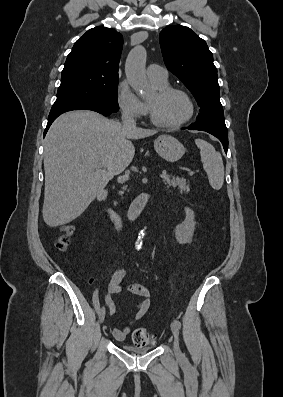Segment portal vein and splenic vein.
Masks as SVG:
<instances>
[{
    "label": "portal vein and splenic vein",
    "mask_w": 283,
    "mask_h": 397,
    "mask_svg": "<svg viewBox=\"0 0 283 397\" xmlns=\"http://www.w3.org/2000/svg\"><path fill=\"white\" fill-rule=\"evenodd\" d=\"M160 177L163 178V179H167V178L170 177V175L167 174L166 171H163L162 174H160Z\"/></svg>",
    "instance_id": "18ae733b"
}]
</instances>
